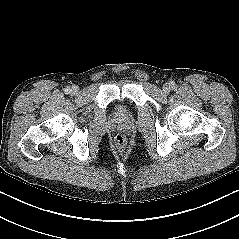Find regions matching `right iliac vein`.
Masks as SVG:
<instances>
[{
    "label": "right iliac vein",
    "instance_id": "63e3f726",
    "mask_svg": "<svg viewBox=\"0 0 239 239\" xmlns=\"http://www.w3.org/2000/svg\"><path fill=\"white\" fill-rule=\"evenodd\" d=\"M78 91H79V87H78V86H73V87H72V92H73L74 94H76Z\"/></svg>",
    "mask_w": 239,
    "mask_h": 239
}]
</instances>
